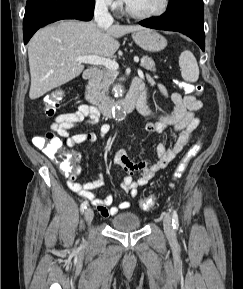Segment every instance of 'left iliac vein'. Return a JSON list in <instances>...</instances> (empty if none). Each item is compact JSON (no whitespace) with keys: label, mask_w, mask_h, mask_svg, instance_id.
<instances>
[{"label":"left iliac vein","mask_w":243,"mask_h":289,"mask_svg":"<svg viewBox=\"0 0 243 289\" xmlns=\"http://www.w3.org/2000/svg\"><path fill=\"white\" fill-rule=\"evenodd\" d=\"M163 226L166 234L170 235L173 233L172 221L168 213H164Z\"/></svg>","instance_id":"obj_1"}]
</instances>
